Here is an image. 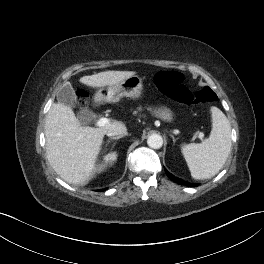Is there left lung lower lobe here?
Listing matches in <instances>:
<instances>
[{"label": "left lung lower lobe", "instance_id": "0a47b994", "mask_svg": "<svg viewBox=\"0 0 264 264\" xmlns=\"http://www.w3.org/2000/svg\"><path fill=\"white\" fill-rule=\"evenodd\" d=\"M165 172H166V174H167V175H168V176H169L174 182H176V183H179V184H181V185H186V186H196L195 184H191V183H189V182H186V181H184V180H182V179H180V178H177V177H175V176L169 174L168 171H166V169H165Z\"/></svg>", "mask_w": 264, "mask_h": 264}]
</instances>
